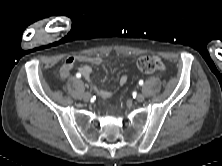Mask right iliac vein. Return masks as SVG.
Instances as JSON below:
<instances>
[{"label":"right iliac vein","mask_w":222,"mask_h":166,"mask_svg":"<svg viewBox=\"0 0 222 166\" xmlns=\"http://www.w3.org/2000/svg\"><path fill=\"white\" fill-rule=\"evenodd\" d=\"M91 98V94L89 92H86L84 95H83V99L84 101H89Z\"/></svg>","instance_id":"63e3f726"}]
</instances>
